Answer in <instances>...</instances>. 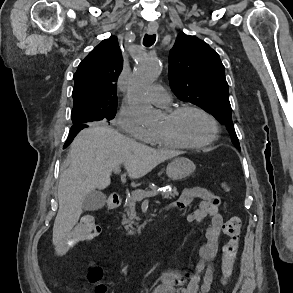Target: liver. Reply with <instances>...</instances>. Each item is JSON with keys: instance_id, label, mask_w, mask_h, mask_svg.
<instances>
[{"instance_id": "obj_1", "label": "liver", "mask_w": 293, "mask_h": 293, "mask_svg": "<svg viewBox=\"0 0 293 293\" xmlns=\"http://www.w3.org/2000/svg\"><path fill=\"white\" fill-rule=\"evenodd\" d=\"M179 154L137 143L108 126L94 124L82 130L70 146L69 166L60 175L53 243L59 244L78 222L85 196L110 185L115 167L123 164L128 176L137 179Z\"/></svg>"}]
</instances>
